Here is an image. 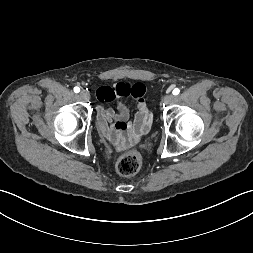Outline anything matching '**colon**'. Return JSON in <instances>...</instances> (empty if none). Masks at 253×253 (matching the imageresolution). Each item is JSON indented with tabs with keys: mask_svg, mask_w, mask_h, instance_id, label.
Here are the masks:
<instances>
[{
	"mask_svg": "<svg viewBox=\"0 0 253 253\" xmlns=\"http://www.w3.org/2000/svg\"><path fill=\"white\" fill-rule=\"evenodd\" d=\"M141 167V158L137 153L127 152L116 161V170L122 176L135 175Z\"/></svg>",
	"mask_w": 253,
	"mask_h": 253,
	"instance_id": "5ec220e1",
	"label": "colon"
}]
</instances>
